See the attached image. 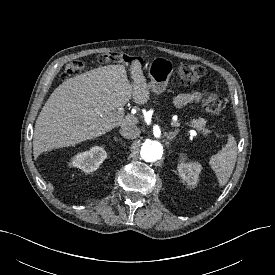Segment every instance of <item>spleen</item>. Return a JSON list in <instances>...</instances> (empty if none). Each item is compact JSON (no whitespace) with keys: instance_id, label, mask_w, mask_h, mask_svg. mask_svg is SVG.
Listing matches in <instances>:
<instances>
[{"instance_id":"obj_1","label":"spleen","mask_w":275,"mask_h":275,"mask_svg":"<svg viewBox=\"0 0 275 275\" xmlns=\"http://www.w3.org/2000/svg\"><path fill=\"white\" fill-rule=\"evenodd\" d=\"M236 159L237 143L235 138L230 134L226 145L209 160V164L216 173L221 186H224L228 182L235 167Z\"/></svg>"}]
</instances>
